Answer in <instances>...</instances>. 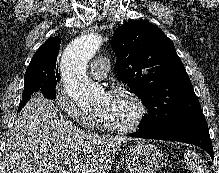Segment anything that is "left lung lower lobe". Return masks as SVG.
<instances>
[{
	"label": "left lung lower lobe",
	"instance_id": "obj_1",
	"mask_svg": "<svg viewBox=\"0 0 219 173\" xmlns=\"http://www.w3.org/2000/svg\"><path fill=\"white\" fill-rule=\"evenodd\" d=\"M131 137L170 140L190 143L205 150L214 159L209 129L203 116H195L178 122L160 132L137 131Z\"/></svg>",
	"mask_w": 219,
	"mask_h": 173
}]
</instances>
